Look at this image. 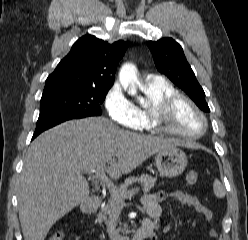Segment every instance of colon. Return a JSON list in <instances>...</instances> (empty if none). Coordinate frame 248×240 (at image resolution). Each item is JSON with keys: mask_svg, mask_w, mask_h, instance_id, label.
I'll return each mask as SVG.
<instances>
[{"mask_svg": "<svg viewBox=\"0 0 248 240\" xmlns=\"http://www.w3.org/2000/svg\"><path fill=\"white\" fill-rule=\"evenodd\" d=\"M198 181V173L196 171H189L186 175V182L189 185H194ZM49 240H63V234L61 231L54 233Z\"/></svg>", "mask_w": 248, "mask_h": 240, "instance_id": "colon-1", "label": "colon"}]
</instances>
